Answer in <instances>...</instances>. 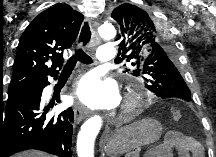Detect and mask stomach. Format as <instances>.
Listing matches in <instances>:
<instances>
[{
    "label": "stomach",
    "instance_id": "stomach-1",
    "mask_svg": "<svg viewBox=\"0 0 216 157\" xmlns=\"http://www.w3.org/2000/svg\"><path fill=\"white\" fill-rule=\"evenodd\" d=\"M162 134V125L154 119H143L117 129L106 140L108 155H122L146 144L157 141Z\"/></svg>",
    "mask_w": 216,
    "mask_h": 157
}]
</instances>
